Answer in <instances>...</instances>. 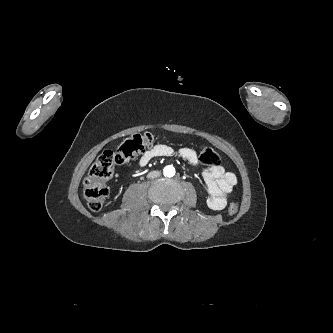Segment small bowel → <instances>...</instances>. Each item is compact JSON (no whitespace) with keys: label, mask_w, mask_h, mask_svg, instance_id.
I'll use <instances>...</instances> for the list:
<instances>
[{"label":"small bowel","mask_w":333,"mask_h":333,"mask_svg":"<svg viewBox=\"0 0 333 333\" xmlns=\"http://www.w3.org/2000/svg\"><path fill=\"white\" fill-rule=\"evenodd\" d=\"M175 154V150L164 144L154 146L146 151L138 160V166H146L152 159L157 157H167ZM177 155L192 164L198 162L196 152L188 147H182L177 151ZM202 176L207 185L208 199L207 205L212 210H222L227 205V200L237 184V177L233 172L226 171L223 166L215 165L206 168Z\"/></svg>","instance_id":"obj_1"}]
</instances>
